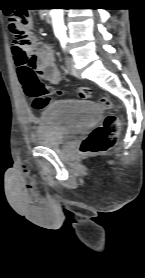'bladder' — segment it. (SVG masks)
I'll return each instance as SVG.
<instances>
[{
	"mask_svg": "<svg viewBox=\"0 0 145 278\" xmlns=\"http://www.w3.org/2000/svg\"><path fill=\"white\" fill-rule=\"evenodd\" d=\"M100 109L92 101L80 99L56 100L47 104L37 117L33 143L38 147L61 149L68 140L93 127Z\"/></svg>",
	"mask_w": 145,
	"mask_h": 278,
	"instance_id": "31cf9c89",
	"label": "bladder"
}]
</instances>
